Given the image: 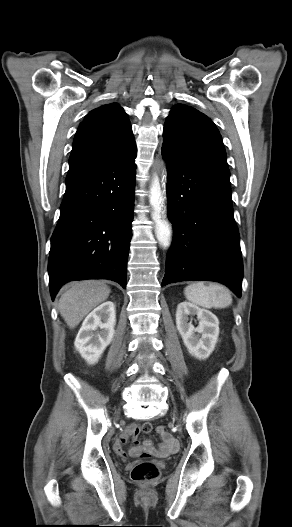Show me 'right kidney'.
Returning a JSON list of instances; mask_svg holds the SVG:
<instances>
[{
    "label": "right kidney",
    "instance_id": "1",
    "mask_svg": "<svg viewBox=\"0 0 292 527\" xmlns=\"http://www.w3.org/2000/svg\"><path fill=\"white\" fill-rule=\"evenodd\" d=\"M115 323V305L111 301L102 303L84 320L74 344L89 364L96 363L111 343Z\"/></svg>",
    "mask_w": 292,
    "mask_h": 527
}]
</instances>
